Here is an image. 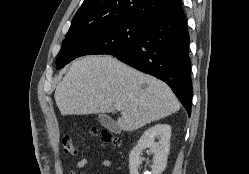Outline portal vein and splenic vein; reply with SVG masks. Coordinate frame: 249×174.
<instances>
[{"label": "portal vein and splenic vein", "instance_id": "obj_1", "mask_svg": "<svg viewBox=\"0 0 249 174\" xmlns=\"http://www.w3.org/2000/svg\"><path fill=\"white\" fill-rule=\"evenodd\" d=\"M114 107H115L116 110H120V105L119 104H115Z\"/></svg>", "mask_w": 249, "mask_h": 174}]
</instances>
